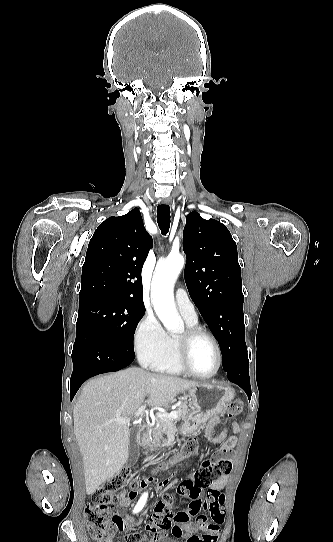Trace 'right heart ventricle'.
<instances>
[{"instance_id":"right-heart-ventricle-1","label":"right heart ventricle","mask_w":333,"mask_h":542,"mask_svg":"<svg viewBox=\"0 0 333 542\" xmlns=\"http://www.w3.org/2000/svg\"><path fill=\"white\" fill-rule=\"evenodd\" d=\"M188 327L197 326V321L193 322L184 317ZM175 339L176 337L167 334L165 346L155 352L148 353L145 356L140 357V363L145 368L153 371L170 373V374H182L176 355H175Z\"/></svg>"}]
</instances>
